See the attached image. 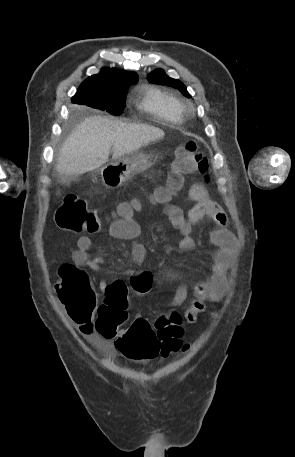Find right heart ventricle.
<instances>
[{"label": "right heart ventricle", "instance_id": "1", "mask_svg": "<svg viewBox=\"0 0 295 457\" xmlns=\"http://www.w3.org/2000/svg\"><path fill=\"white\" fill-rule=\"evenodd\" d=\"M138 106L165 122L179 123L183 119V106L179 99L156 86H144L139 90Z\"/></svg>", "mask_w": 295, "mask_h": 457}]
</instances>
